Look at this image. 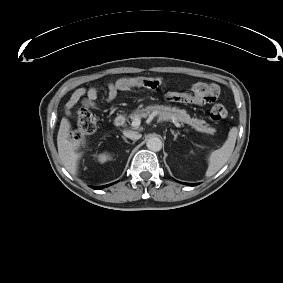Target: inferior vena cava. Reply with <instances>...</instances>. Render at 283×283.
Segmentation results:
<instances>
[{
  "instance_id": "obj_1",
  "label": "inferior vena cava",
  "mask_w": 283,
  "mask_h": 283,
  "mask_svg": "<svg viewBox=\"0 0 283 283\" xmlns=\"http://www.w3.org/2000/svg\"><path fill=\"white\" fill-rule=\"evenodd\" d=\"M124 135L131 140H138L141 138V134L135 131H124Z\"/></svg>"
}]
</instances>
